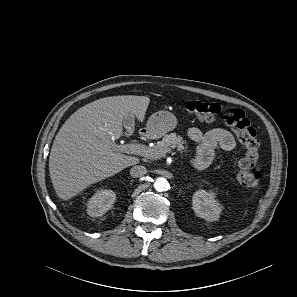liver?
<instances>
[{"label":"liver","instance_id":"6515ba94","mask_svg":"<svg viewBox=\"0 0 297 297\" xmlns=\"http://www.w3.org/2000/svg\"><path fill=\"white\" fill-rule=\"evenodd\" d=\"M150 99L121 95L95 100L75 111L57 133L49 172L57 196L69 200L93 183L137 164V157L117 152L114 140L128 115L145 119Z\"/></svg>","mask_w":297,"mask_h":297}]
</instances>
